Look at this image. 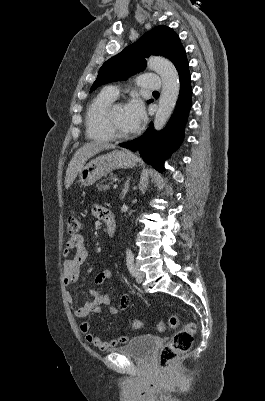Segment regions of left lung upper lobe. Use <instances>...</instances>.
Here are the masks:
<instances>
[{
    "instance_id": "left-lung-upper-lobe-1",
    "label": "left lung upper lobe",
    "mask_w": 265,
    "mask_h": 401,
    "mask_svg": "<svg viewBox=\"0 0 265 401\" xmlns=\"http://www.w3.org/2000/svg\"><path fill=\"white\" fill-rule=\"evenodd\" d=\"M151 55L168 58L176 68L186 58L178 35L167 26H157L145 33L137 42L107 60L100 68L90 92L102 84L125 80L136 72L144 70L145 58Z\"/></svg>"
}]
</instances>
